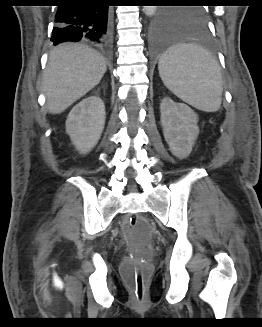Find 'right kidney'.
<instances>
[{
	"mask_svg": "<svg viewBox=\"0 0 262 327\" xmlns=\"http://www.w3.org/2000/svg\"><path fill=\"white\" fill-rule=\"evenodd\" d=\"M105 124V106L98 96H89L75 105L66 120V132L76 149L86 154L100 139Z\"/></svg>",
	"mask_w": 262,
	"mask_h": 327,
	"instance_id": "1",
	"label": "right kidney"
}]
</instances>
